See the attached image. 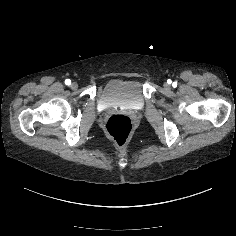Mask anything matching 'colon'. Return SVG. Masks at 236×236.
<instances>
[{
  "instance_id": "colon-1",
  "label": "colon",
  "mask_w": 236,
  "mask_h": 236,
  "mask_svg": "<svg viewBox=\"0 0 236 236\" xmlns=\"http://www.w3.org/2000/svg\"><path fill=\"white\" fill-rule=\"evenodd\" d=\"M105 131L115 144L122 146L129 140L132 134L133 122L127 115L116 114L107 120Z\"/></svg>"
}]
</instances>
